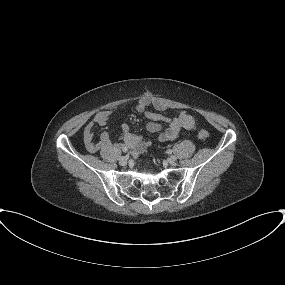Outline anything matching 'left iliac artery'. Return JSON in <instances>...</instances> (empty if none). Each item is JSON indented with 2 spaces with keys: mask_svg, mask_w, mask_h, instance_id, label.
<instances>
[{
  "mask_svg": "<svg viewBox=\"0 0 285 285\" xmlns=\"http://www.w3.org/2000/svg\"><path fill=\"white\" fill-rule=\"evenodd\" d=\"M167 152H168L169 154H171V153H172V150L169 149Z\"/></svg>",
  "mask_w": 285,
  "mask_h": 285,
  "instance_id": "44dca946",
  "label": "left iliac artery"
}]
</instances>
